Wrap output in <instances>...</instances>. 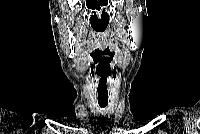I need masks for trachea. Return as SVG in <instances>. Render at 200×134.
<instances>
[{"label": "trachea", "instance_id": "1", "mask_svg": "<svg viewBox=\"0 0 200 134\" xmlns=\"http://www.w3.org/2000/svg\"><path fill=\"white\" fill-rule=\"evenodd\" d=\"M98 104H99L100 107L104 108V107L107 106L108 101H98Z\"/></svg>", "mask_w": 200, "mask_h": 134}]
</instances>
